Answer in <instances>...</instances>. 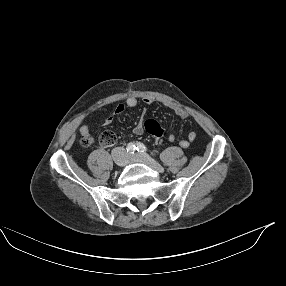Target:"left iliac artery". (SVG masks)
Wrapping results in <instances>:
<instances>
[{
	"instance_id": "44dca946",
	"label": "left iliac artery",
	"mask_w": 286,
	"mask_h": 286,
	"mask_svg": "<svg viewBox=\"0 0 286 286\" xmlns=\"http://www.w3.org/2000/svg\"><path fill=\"white\" fill-rule=\"evenodd\" d=\"M136 150L141 153H146L147 147L143 143L138 142L136 144Z\"/></svg>"
}]
</instances>
